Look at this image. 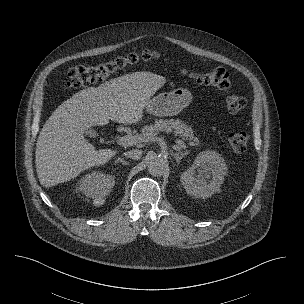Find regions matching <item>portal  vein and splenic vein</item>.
<instances>
[{
  "mask_svg": "<svg viewBox=\"0 0 304 304\" xmlns=\"http://www.w3.org/2000/svg\"><path fill=\"white\" fill-rule=\"evenodd\" d=\"M145 140H147V139H143L142 137H137V136H133V135H126V136L120 137L117 140V143L122 146H132V145L137 144L140 141H145ZM175 143L177 145H179L181 148H186L185 143L180 139H175Z\"/></svg>",
  "mask_w": 304,
  "mask_h": 304,
  "instance_id": "18ae733b",
  "label": "portal vein and splenic vein"
}]
</instances>
